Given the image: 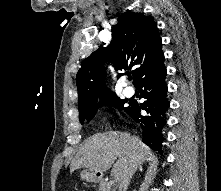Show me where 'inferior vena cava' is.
Returning a JSON list of instances; mask_svg holds the SVG:
<instances>
[{
	"label": "inferior vena cava",
	"mask_w": 221,
	"mask_h": 191,
	"mask_svg": "<svg viewBox=\"0 0 221 191\" xmlns=\"http://www.w3.org/2000/svg\"><path fill=\"white\" fill-rule=\"evenodd\" d=\"M133 142H135L137 139L135 137H133ZM137 170V164L134 163L131 170L129 171L128 176L123 180L121 186L119 187L120 191H127L128 185L130 183V180L133 176V174L135 173V171Z\"/></svg>",
	"instance_id": "obj_1"
}]
</instances>
